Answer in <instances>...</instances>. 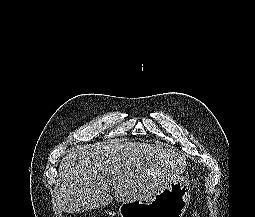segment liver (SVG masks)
Here are the masks:
<instances>
[{"label": "liver", "instance_id": "6515ba94", "mask_svg": "<svg viewBox=\"0 0 255 217\" xmlns=\"http://www.w3.org/2000/svg\"><path fill=\"white\" fill-rule=\"evenodd\" d=\"M186 158L176 150L137 142L96 143L73 148L62 159L56 203L65 213L103 207L115 200L150 199L179 178Z\"/></svg>", "mask_w": 255, "mask_h": 217}]
</instances>
